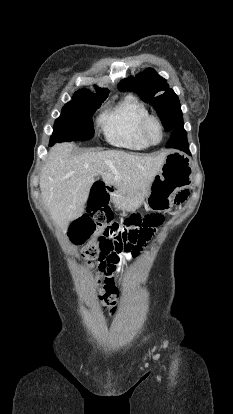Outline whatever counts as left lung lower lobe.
<instances>
[{
	"mask_svg": "<svg viewBox=\"0 0 233 414\" xmlns=\"http://www.w3.org/2000/svg\"><path fill=\"white\" fill-rule=\"evenodd\" d=\"M166 147H173L176 149L183 150L186 153L189 152L187 134L183 128V121L178 123L174 128L170 140L168 141Z\"/></svg>",
	"mask_w": 233,
	"mask_h": 414,
	"instance_id": "left-lung-lower-lobe-1",
	"label": "left lung lower lobe"
}]
</instances>
